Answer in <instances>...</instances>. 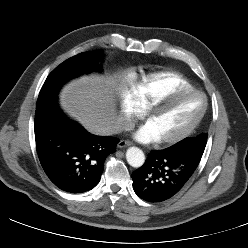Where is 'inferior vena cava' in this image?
<instances>
[{"mask_svg":"<svg viewBox=\"0 0 248 248\" xmlns=\"http://www.w3.org/2000/svg\"><path fill=\"white\" fill-rule=\"evenodd\" d=\"M131 123L123 116H116L114 120V124L110 128V130L106 133L107 135L117 134L122 131L131 130Z\"/></svg>","mask_w":248,"mask_h":248,"instance_id":"602c4592","label":"inferior vena cava"}]
</instances>
